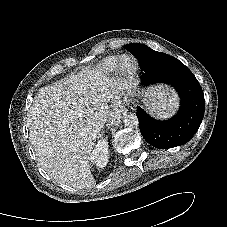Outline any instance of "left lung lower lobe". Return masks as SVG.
I'll use <instances>...</instances> for the list:
<instances>
[{
  "instance_id": "1",
  "label": "left lung lower lobe",
  "mask_w": 227,
  "mask_h": 227,
  "mask_svg": "<svg viewBox=\"0 0 227 227\" xmlns=\"http://www.w3.org/2000/svg\"><path fill=\"white\" fill-rule=\"evenodd\" d=\"M131 52L140 60L142 86L155 83L172 85L180 95L179 112L171 119L157 121L137 106L139 128L143 138L158 149H168L187 143L198 130L205 110L202 88L193 73L181 62L173 65L154 67L160 52L139 44Z\"/></svg>"
}]
</instances>
